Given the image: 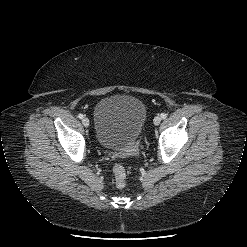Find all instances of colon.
Here are the masks:
<instances>
[{
    "mask_svg": "<svg viewBox=\"0 0 247 247\" xmlns=\"http://www.w3.org/2000/svg\"><path fill=\"white\" fill-rule=\"evenodd\" d=\"M115 183L118 188H124L126 185V170L121 164H115L113 167Z\"/></svg>",
    "mask_w": 247,
    "mask_h": 247,
    "instance_id": "colon-1",
    "label": "colon"
}]
</instances>
